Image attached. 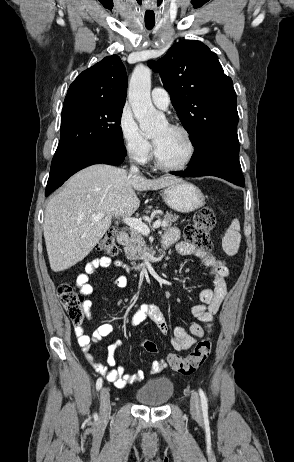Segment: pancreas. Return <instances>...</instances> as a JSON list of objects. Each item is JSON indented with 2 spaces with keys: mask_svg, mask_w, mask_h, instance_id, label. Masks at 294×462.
Wrapping results in <instances>:
<instances>
[{
  "mask_svg": "<svg viewBox=\"0 0 294 462\" xmlns=\"http://www.w3.org/2000/svg\"><path fill=\"white\" fill-rule=\"evenodd\" d=\"M160 220V217L157 216ZM179 219V216L172 214L171 212H166L161 226L163 228L170 227L175 221ZM130 237L124 243V252L129 260L138 261L147 257L146 252H148V247L146 246L145 240L142 233L137 230H130Z\"/></svg>",
  "mask_w": 294,
  "mask_h": 462,
  "instance_id": "cf45deb5",
  "label": "pancreas"
}]
</instances>
